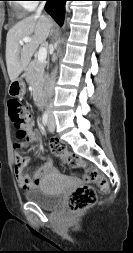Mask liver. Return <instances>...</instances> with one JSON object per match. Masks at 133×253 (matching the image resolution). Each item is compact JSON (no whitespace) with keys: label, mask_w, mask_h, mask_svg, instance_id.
I'll return each mask as SVG.
<instances>
[{"label":"liver","mask_w":133,"mask_h":253,"mask_svg":"<svg viewBox=\"0 0 133 253\" xmlns=\"http://www.w3.org/2000/svg\"><path fill=\"white\" fill-rule=\"evenodd\" d=\"M51 18L45 15H31L16 23L7 33L6 65L11 81H14L27 69L36 49L43 44L50 35L53 27ZM30 37V42L20 44L19 41Z\"/></svg>","instance_id":"6515ba94"}]
</instances>
